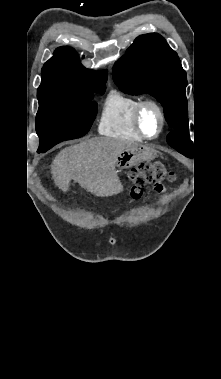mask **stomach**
<instances>
[{"label":"stomach","mask_w":221,"mask_h":379,"mask_svg":"<svg viewBox=\"0 0 221 379\" xmlns=\"http://www.w3.org/2000/svg\"><path fill=\"white\" fill-rule=\"evenodd\" d=\"M156 156V151L143 145H136L125 149L117 158L118 170H124L140 162L150 161Z\"/></svg>","instance_id":"0dacf381"}]
</instances>
